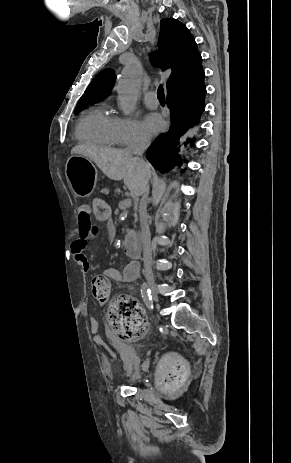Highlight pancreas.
<instances>
[{"mask_svg": "<svg viewBox=\"0 0 291 463\" xmlns=\"http://www.w3.org/2000/svg\"><path fill=\"white\" fill-rule=\"evenodd\" d=\"M113 192H114L115 197H122L123 196V192L117 186L114 187Z\"/></svg>", "mask_w": 291, "mask_h": 463, "instance_id": "obj_1", "label": "pancreas"}]
</instances>
